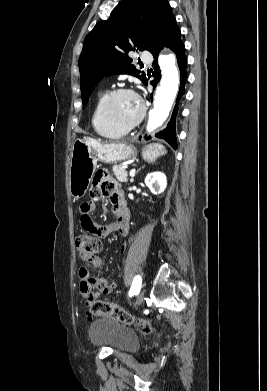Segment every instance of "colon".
<instances>
[{
	"instance_id": "5ec220e1",
	"label": "colon",
	"mask_w": 267,
	"mask_h": 391,
	"mask_svg": "<svg viewBox=\"0 0 267 391\" xmlns=\"http://www.w3.org/2000/svg\"><path fill=\"white\" fill-rule=\"evenodd\" d=\"M75 244L78 258L84 265H88L102 247V242L99 237L86 233L78 235ZM102 315H107L116 321L128 325L136 324L144 331L152 330V325L149 320L137 318L113 302L104 300L92 302L89 317H99Z\"/></svg>"
}]
</instances>
